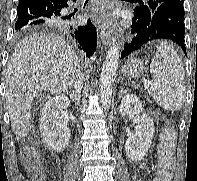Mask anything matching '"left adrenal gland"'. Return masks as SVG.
Here are the masks:
<instances>
[{"label": "left adrenal gland", "instance_id": "left-adrenal-gland-1", "mask_svg": "<svg viewBox=\"0 0 197 181\" xmlns=\"http://www.w3.org/2000/svg\"><path fill=\"white\" fill-rule=\"evenodd\" d=\"M127 91L123 89V87H120V92H119V99L122 98L123 95H126Z\"/></svg>", "mask_w": 197, "mask_h": 181}]
</instances>
